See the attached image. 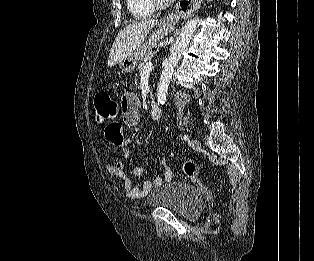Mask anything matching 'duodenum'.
<instances>
[{
	"mask_svg": "<svg viewBox=\"0 0 314 261\" xmlns=\"http://www.w3.org/2000/svg\"><path fill=\"white\" fill-rule=\"evenodd\" d=\"M150 115L153 120H159L162 115V111L158 103H153L150 108Z\"/></svg>",
	"mask_w": 314,
	"mask_h": 261,
	"instance_id": "obj_1",
	"label": "duodenum"
}]
</instances>
